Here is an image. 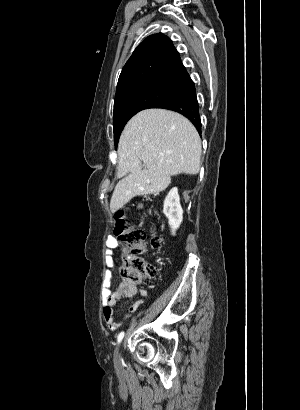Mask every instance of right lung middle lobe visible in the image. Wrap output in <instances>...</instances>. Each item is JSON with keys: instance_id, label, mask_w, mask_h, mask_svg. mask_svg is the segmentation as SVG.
I'll return each instance as SVG.
<instances>
[{"instance_id": "obj_1", "label": "right lung middle lobe", "mask_w": 300, "mask_h": 410, "mask_svg": "<svg viewBox=\"0 0 300 410\" xmlns=\"http://www.w3.org/2000/svg\"><path fill=\"white\" fill-rule=\"evenodd\" d=\"M189 83L156 82L137 84L122 90L114 100V141L118 144L120 134L128 120L141 110L160 108L179 96Z\"/></svg>"}]
</instances>
